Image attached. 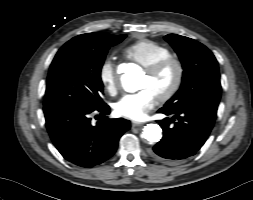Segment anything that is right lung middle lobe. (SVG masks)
Here are the masks:
<instances>
[{"instance_id": "obj_1", "label": "right lung middle lobe", "mask_w": 253, "mask_h": 200, "mask_svg": "<svg viewBox=\"0 0 253 200\" xmlns=\"http://www.w3.org/2000/svg\"><path fill=\"white\" fill-rule=\"evenodd\" d=\"M125 35H113L98 42L73 38L53 59L47 78L44 108L71 105L92 108L102 105L100 72L109 47Z\"/></svg>"}]
</instances>
